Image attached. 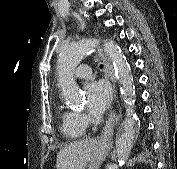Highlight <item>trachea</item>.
Here are the masks:
<instances>
[{
    "instance_id": "obj_1",
    "label": "trachea",
    "mask_w": 177,
    "mask_h": 169,
    "mask_svg": "<svg viewBox=\"0 0 177 169\" xmlns=\"http://www.w3.org/2000/svg\"><path fill=\"white\" fill-rule=\"evenodd\" d=\"M100 68H101V69L103 68V65H102V64L100 65Z\"/></svg>"
}]
</instances>
